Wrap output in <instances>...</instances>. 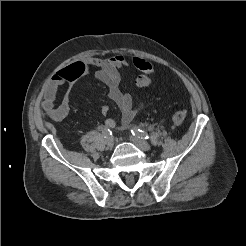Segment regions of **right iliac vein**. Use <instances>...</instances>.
<instances>
[{
  "label": "right iliac vein",
  "mask_w": 246,
  "mask_h": 246,
  "mask_svg": "<svg viewBox=\"0 0 246 246\" xmlns=\"http://www.w3.org/2000/svg\"><path fill=\"white\" fill-rule=\"evenodd\" d=\"M114 143H115V141H114V138L113 137H107V139H106V145L108 147H113L114 146Z\"/></svg>",
  "instance_id": "obj_1"
}]
</instances>
